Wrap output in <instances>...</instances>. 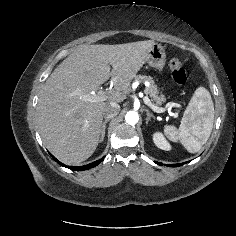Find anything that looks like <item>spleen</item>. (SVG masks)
<instances>
[{
  "label": "spleen",
  "mask_w": 236,
  "mask_h": 236,
  "mask_svg": "<svg viewBox=\"0 0 236 236\" xmlns=\"http://www.w3.org/2000/svg\"><path fill=\"white\" fill-rule=\"evenodd\" d=\"M214 122V105L209 91L198 87L182 118L179 129L166 126L164 133L169 140H178L190 153L198 152L207 142Z\"/></svg>",
  "instance_id": "3e777b00"
}]
</instances>
